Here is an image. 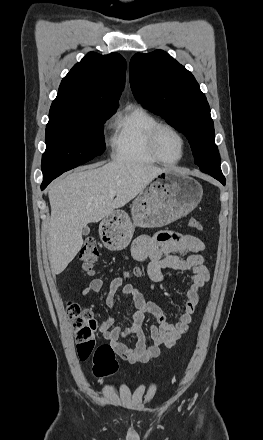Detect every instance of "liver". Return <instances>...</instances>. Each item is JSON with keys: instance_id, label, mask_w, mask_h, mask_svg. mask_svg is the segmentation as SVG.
Wrapping results in <instances>:
<instances>
[{"instance_id": "1", "label": "liver", "mask_w": 263, "mask_h": 440, "mask_svg": "<svg viewBox=\"0 0 263 440\" xmlns=\"http://www.w3.org/2000/svg\"><path fill=\"white\" fill-rule=\"evenodd\" d=\"M168 171L138 162L114 161L83 167L56 180L49 188L51 218L47 248L53 274L62 273L83 245L88 223L108 217ZM115 191V199L109 193Z\"/></svg>"}]
</instances>
